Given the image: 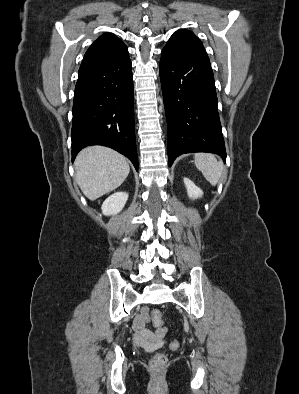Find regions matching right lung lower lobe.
I'll list each match as a JSON object with an SVG mask.
<instances>
[{
    "label": "right lung lower lobe",
    "mask_w": 299,
    "mask_h": 394,
    "mask_svg": "<svg viewBox=\"0 0 299 394\" xmlns=\"http://www.w3.org/2000/svg\"><path fill=\"white\" fill-rule=\"evenodd\" d=\"M133 101L129 57L80 67L73 104L72 161L82 148L104 145L129 158L137 170Z\"/></svg>",
    "instance_id": "obj_1"
}]
</instances>
